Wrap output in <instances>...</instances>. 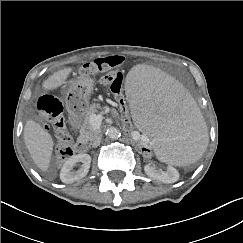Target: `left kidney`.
<instances>
[{
    "mask_svg": "<svg viewBox=\"0 0 243 243\" xmlns=\"http://www.w3.org/2000/svg\"><path fill=\"white\" fill-rule=\"evenodd\" d=\"M145 173L152 179L163 183H175L179 179V172L171 165L167 166L166 171L157 169L154 165L147 164L144 166Z\"/></svg>",
    "mask_w": 243,
    "mask_h": 243,
    "instance_id": "left-kidney-1",
    "label": "left kidney"
}]
</instances>
